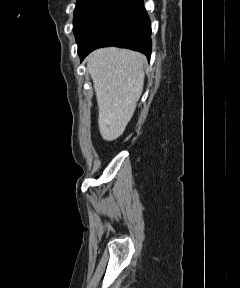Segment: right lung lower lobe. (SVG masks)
<instances>
[{
	"mask_svg": "<svg viewBox=\"0 0 240 288\" xmlns=\"http://www.w3.org/2000/svg\"><path fill=\"white\" fill-rule=\"evenodd\" d=\"M117 46L151 55V24L142 0H121L100 23L84 45L78 46L81 61L93 50Z\"/></svg>",
	"mask_w": 240,
	"mask_h": 288,
	"instance_id": "obj_1",
	"label": "right lung lower lobe"
}]
</instances>
